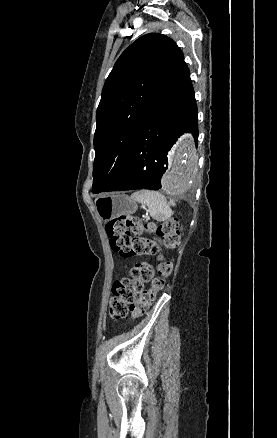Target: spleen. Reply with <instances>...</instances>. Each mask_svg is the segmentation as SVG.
Masks as SVG:
<instances>
[{
    "label": "spleen",
    "instance_id": "obj_1",
    "mask_svg": "<svg viewBox=\"0 0 277 438\" xmlns=\"http://www.w3.org/2000/svg\"><path fill=\"white\" fill-rule=\"evenodd\" d=\"M132 200L147 206L148 212L152 218L164 222L171 218L173 212L167 204V200L163 194L159 192H151V190H140V192H134L131 196Z\"/></svg>",
    "mask_w": 277,
    "mask_h": 438
}]
</instances>
